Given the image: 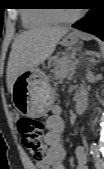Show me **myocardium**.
Masks as SVG:
<instances>
[{
  "label": "myocardium",
  "instance_id": "obj_1",
  "mask_svg": "<svg viewBox=\"0 0 104 169\" xmlns=\"http://www.w3.org/2000/svg\"><path fill=\"white\" fill-rule=\"evenodd\" d=\"M50 14L53 16V18L55 19L56 22L71 23V22L75 21L76 19H78L80 17L81 11L78 10L71 16L61 15L59 10H51Z\"/></svg>",
  "mask_w": 104,
  "mask_h": 169
}]
</instances>
